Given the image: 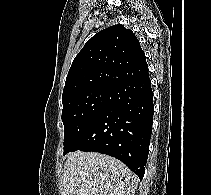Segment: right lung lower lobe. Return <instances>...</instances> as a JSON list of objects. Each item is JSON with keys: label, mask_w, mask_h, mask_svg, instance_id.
I'll return each instance as SVG.
<instances>
[{"label": "right lung lower lobe", "mask_w": 211, "mask_h": 195, "mask_svg": "<svg viewBox=\"0 0 211 195\" xmlns=\"http://www.w3.org/2000/svg\"><path fill=\"white\" fill-rule=\"evenodd\" d=\"M153 92L149 74L120 83L78 141L64 154L94 151L115 157L140 179L145 173L153 123Z\"/></svg>", "instance_id": "right-lung-lower-lobe-1"}]
</instances>
